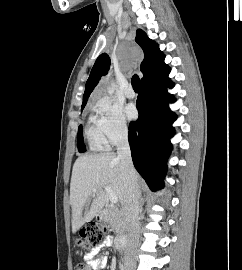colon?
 Segmentation results:
<instances>
[{
	"label": "colon",
	"mask_w": 242,
	"mask_h": 270,
	"mask_svg": "<svg viewBox=\"0 0 242 270\" xmlns=\"http://www.w3.org/2000/svg\"><path fill=\"white\" fill-rule=\"evenodd\" d=\"M109 231L106 224L95 223L86 226L80 232V238L76 242L78 249L85 250L101 243L104 235ZM75 270H91L89 265L80 263Z\"/></svg>",
	"instance_id": "obj_1"
}]
</instances>
